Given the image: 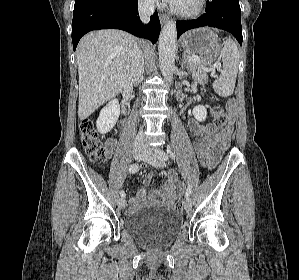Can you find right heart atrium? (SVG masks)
Returning <instances> with one entry per match:
<instances>
[{
	"instance_id": "right-heart-atrium-1",
	"label": "right heart atrium",
	"mask_w": 299,
	"mask_h": 280,
	"mask_svg": "<svg viewBox=\"0 0 299 280\" xmlns=\"http://www.w3.org/2000/svg\"><path fill=\"white\" fill-rule=\"evenodd\" d=\"M156 0H140L141 4L146 7L154 6Z\"/></svg>"
}]
</instances>
